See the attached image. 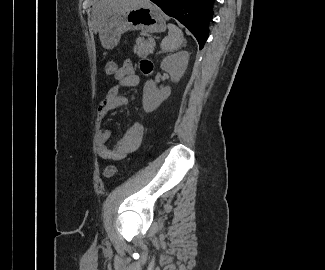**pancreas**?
Listing matches in <instances>:
<instances>
[{
    "instance_id": "1",
    "label": "pancreas",
    "mask_w": 325,
    "mask_h": 270,
    "mask_svg": "<svg viewBox=\"0 0 325 270\" xmlns=\"http://www.w3.org/2000/svg\"><path fill=\"white\" fill-rule=\"evenodd\" d=\"M154 50L153 43L151 39L145 40L143 37H138L136 40V45L134 46V53L139 57H146Z\"/></svg>"
}]
</instances>
